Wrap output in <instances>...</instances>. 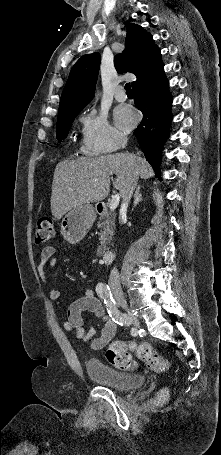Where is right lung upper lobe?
Instances as JSON below:
<instances>
[{
    "label": "right lung upper lobe",
    "mask_w": 221,
    "mask_h": 455,
    "mask_svg": "<svg viewBox=\"0 0 221 455\" xmlns=\"http://www.w3.org/2000/svg\"><path fill=\"white\" fill-rule=\"evenodd\" d=\"M125 49L114 57L119 73L131 72L137 79L160 55L152 36L141 26L127 25ZM100 54L95 52L82 56L71 69L60 99L58 115L80 112L92 99L98 77ZM136 81L132 82V87Z\"/></svg>",
    "instance_id": "1"
}]
</instances>
